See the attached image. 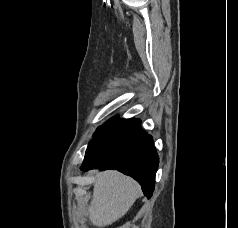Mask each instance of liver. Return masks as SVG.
Here are the masks:
<instances>
[{
	"instance_id": "6515ba94",
	"label": "liver",
	"mask_w": 238,
	"mask_h": 228,
	"mask_svg": "<svg viewBox=\"0 0 238 228\" xmlns=\"http://www.w3.org/2000/svg\"><path fill=\"white\" fill-rule=\"evenodd\" d=\"M141 192L140 185L118 171L99 173L88 208L89 221L99 228L122 218Z\"/></svg>"
}]
</instances>
